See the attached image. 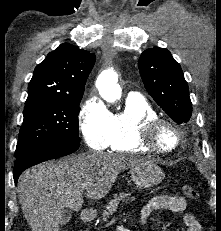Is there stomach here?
I'll use <instances>...</instances> for the list:
<instances>
[{
  "instance_id": "stomach-1",
  "label": "stomach",
  "mask_w": 221,
  "mask_h": 231,
  "mask_svg": "<svg viewBox=\"0 0 221 231\" xmlns=\"http://www.w3.org/2000/svg\"><path fill=\"white\" fill-rule=\"evenodd\" d=\"M132 181L140 188L158 185L164 178L162 169L152 161L142 160L130 170Z\"/></svg>"
}]
</instances>
